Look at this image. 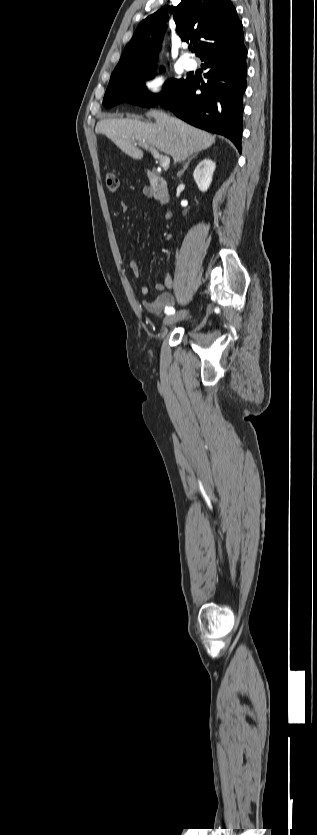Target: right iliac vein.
Here are the masks:
<instances>
[{
  "instance_id": "obj_1",
  "label": "right iliac vein",
  "mask_w": 317,
  "mask_h": 835,
  "mask_svg": "<svg viewBox=\"0 0 317 835\" xmlns=\"http://www.w3.org/2000/svg\"><path fill=\"white\" fill-rule=\"evenodd\" d=\"M187 314H188L187 310H181V311H179L177 313H174L172 315H168L163 321V326L170 325V324L176 323L178 321H181L187 316Z\"/></svg>"
}]
</instances>
